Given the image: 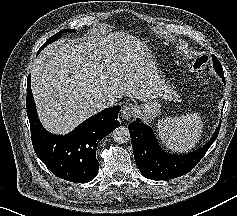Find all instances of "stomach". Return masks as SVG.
<instances>
[{
	"label": "stomach",
	"instance_id": "stomach-1",
	"mask_svg": "<svg viewBox=\"0 0 237 216\" xmlns=\"http://www.w3.org/2000/svg\"><path fill=\"white\" fill-rule=\"evenodd\" d=\"M160 100L158 98H154L150 101H147L145 104H142L139 107L140 115L146 121H151L160 113Z\"/></svg>",
	"mask_w": 237,
	"mask_h": 216
}]
</instances>
